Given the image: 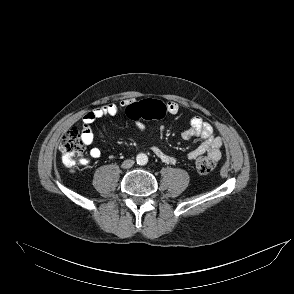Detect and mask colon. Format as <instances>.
<instances>
[{
    "instance_id": "5ec220e1",
    "label": "colon",
    "mask_w": 294,
    "mask_h": 294,
    "mask_svg": "<svg viewBox=\"0 0 294 294\" xmlns=\"http://www.w3.org/2000/svg\"><path fill=\"white\" fill-rule=\"evenodd\" d=\"M126 114L132 120L162 119L169 114L165 103L159 100H144L130 103L126 107ZM84 141L79 128H73L67 132L60 144L62 159L66 166L73 167L82 162ZM216 167V160L211 156H201L196 161L199 173L205 175L211 173Z\"/></svg>"
}]
</instances>
